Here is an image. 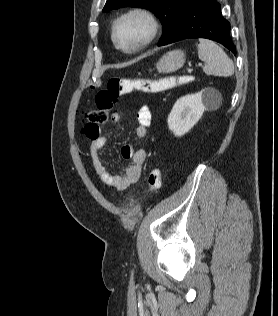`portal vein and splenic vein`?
I'll use <instances>...</instances> for the list:
<instances>
[{
  "label": "portal vein and splenic vein",
  "mask_w": 278,
  "mask_h": 316,
  "mask_svg": "<svg viewBox=\"0 0 278 316\" xmlns=\"http://www.w3.org/2000/svg\"><path fill=\"white\" fill-rule=\"evenodd\" d=\"M198 65H199V66H202V63H199Z\"/></svg>",
  "instance_id": "18ae733b"
}]
</instances>
